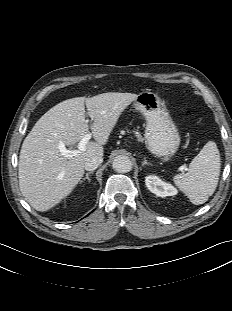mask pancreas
I'll return each instance as SVG.
<instances>
[{
    "mask_svg": "<svg viewBox=\"0 0 232 311\" xmlns=\"http://www.w3.org/2000/svg\"><path fill=\"white\" fill-rule=\"evenodd\" d=\"M137 138H138V140H141L142 139V137H141V135H137Z\"/></svg>",
    "mask_w": 232,
    "mask_h": 311,
    "instance_id": "obj_1",
    "label": "pancreas"
}]
</instances>
